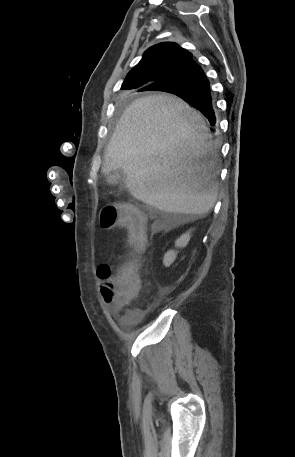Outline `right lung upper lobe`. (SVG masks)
<instances>
[{"label":"right lung upper lobe","mask_w":295,"mask_h":457,"mask_svg":"<svg viewBox=\"0 0 295 457\" xmlns=\"http://www.w3.org/2000/svg\"><path fill=\"white\" fill-rule=\"evenodd\" d=\"M192 61V54L176 43L156 44L145 51L141 61L127 74L121 88L144 89L173 80Z\"/></svg>","instance_id":"right-lung-upper-lobe-1"}]
</instances>
